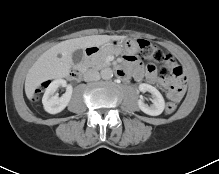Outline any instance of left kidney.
I'll return each instance as SVG.
<instances>
[{
    "instance_id": "5707ae66",
    "label": "left kidney",
    "mask_w": 219,
    "mask_h": 174,
    "mask_svg": "<svg viewBox=\"0 0 219 174\" xmlns=\"http://www.w3.org/2000/svg\"><path fill=\"white\" fill-rule=\"evenodd\" d=\"M139 90L142 92H150L152 94V105L148 106L144 103L143 98L138 100V106L141 111L151 116L160 115L165 108V101L161 93L153 86L142 83L139 85Z\"/></svg>"
}]
</instances>
